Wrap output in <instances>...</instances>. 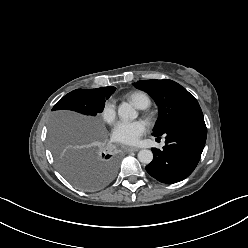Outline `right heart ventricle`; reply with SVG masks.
I'll return each instance as SVG.
<instances>
[{"instance_id": "e07e8e85", "label": "right heart ventricle", "mask_w": 248, "mask_h": 248, "mask_svg": "<svg viewBox=\"0 0 248 248\" xmlns=\"http://www.w3.org/2000/svg\"><path fill=\"white\" fill-rule=\"evenodd\" d=\"M127 97L141 109L148 108L151 104V99L145 92L142 91H133L130 92Z\"/></svg>"}]
</instances>
